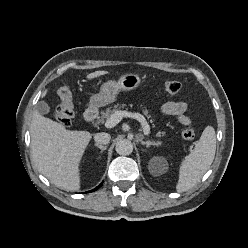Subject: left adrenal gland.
I'll return each instance as SVG.
<instances>
[{
    "instance_id": "1",
    "label": "left adrenal gland",
    "mask_w": 248,
    "mask_h": 248,
    "mask_svg": "<svg viewBox=\"0 0 248 248\" xmlns=\"http://www.w3.org/2000/svg\"><path fill=\"white\" fill-rule=\"evenodd\" d=\"M141 144L146 145L147 148H149L151 145L153 146L158 145V143L155 141H143V140H141Z\"/></svg>"
}]
</instances>
